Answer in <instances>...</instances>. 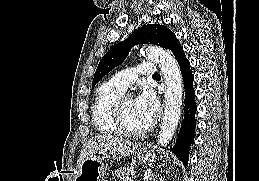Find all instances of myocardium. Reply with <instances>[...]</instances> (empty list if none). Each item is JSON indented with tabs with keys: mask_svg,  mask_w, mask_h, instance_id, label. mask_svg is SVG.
I'll list each match as a JSON object with an SVG mask.
<instances>
[{
	"mask_svg": "<svg viewBox=\"0 0 259 181\" xmlns=\"http://www.w3.org/2000/svg\"><path fill=\"white\" fill-rule=\"evenodd\" d=\"M129 98H133V95L131 93H123L117 99L115 104V110H114L116 122L121 132L127 135H141L143 133H146L153 127L154 125L153 121H150L147 125L143 127H138V128L131 127L126 122L125 113H124V102Z\"/></svg>",
	"mask_w": 259,
	"mask_h": 181,
	"instance_id": "1",
	"label": "myocardium"
}]
</instances>
